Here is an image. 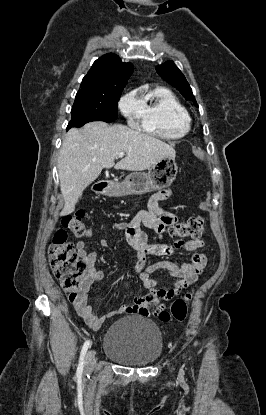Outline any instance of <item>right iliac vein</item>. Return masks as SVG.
Here are the masks:
<instances>
[{
	"label": "right iliac vein",
	"instance_id": "63e3f726",
	"mask_svg": "<svg viewBox=\"0 0 266 415\" xmlns=\"http://www.w3.org/2000/svg\"><path fill=\"white\" fill-rule=\"evenodd\" d=\"M95 363V356L92 350L88 351L86 358H85V369L90 370L94 366Z\"/></svg>",
	"mask_w": 266,
	"mask_h": 415
}]
</instances>
